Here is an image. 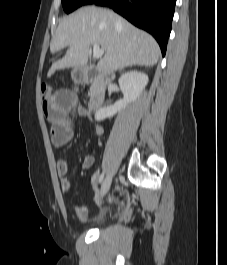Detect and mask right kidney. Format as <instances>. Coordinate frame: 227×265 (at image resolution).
Wrapping results in <instances>:
<instances>
[{
	"label": "right kidney",
	"instance_id": "right-kidney-1",
	"mask_svg": "<svg viewBox=\"0 0 227 265\" xmlns=\"http://www.w3.org/2000/svg\"><path fill=\"white\" fill-rule=\"evenodd\" d=\"M118 82L123 93V99L113 105L98 109L95 114L97 121L113 117L116 113L125 109L129 103L134 102L147 85L148 76L143 72L130 71L121 75Z\"/></svg>",
	"mask_w": 227,
	"mask_h": 265
}]
</instances>
